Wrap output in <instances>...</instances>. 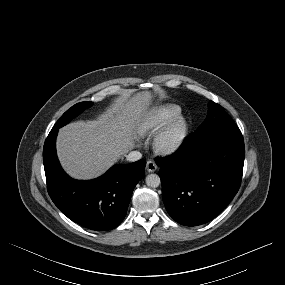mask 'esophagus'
<instances>
[{"mask_svg": "<svg viewBox=\"0 0 285 285\" xmlns=\"http://www.w3.org/2000/svg\"><path fill=\"white\" fill-rule=\"evenodd\" d=\"M156 169H157V165L154 161H152V160L147 161L146 170L148 172H154V171H156Z\"/></svg>", "mask_w": 285, "mask_h": 285, "instance_id": "34e87169", "label": "esophagus"}]
</instances>
